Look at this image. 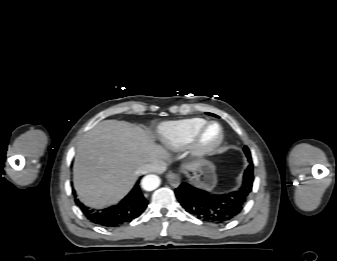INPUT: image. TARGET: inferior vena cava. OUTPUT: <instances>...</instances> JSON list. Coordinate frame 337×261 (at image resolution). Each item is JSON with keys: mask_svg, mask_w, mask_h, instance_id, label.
Here are the masks:
<instances>
[{"mask_svg": "<svg viewBox=\"0 0 337 261\" xmlns=\"http://www.w3.org/2000/svg\"><path fill=\"white\" fill-rule=\"evenodd\" d=\"M166 169V164L163 161H154L152 163H148L141 167L140 173L146 174L149 172H156V171H164Z\"/></svg>", "mask_w": 337, "mask_h": 261, "instance_id": "1", "label": "inferior vena cava"}]
</instances>
